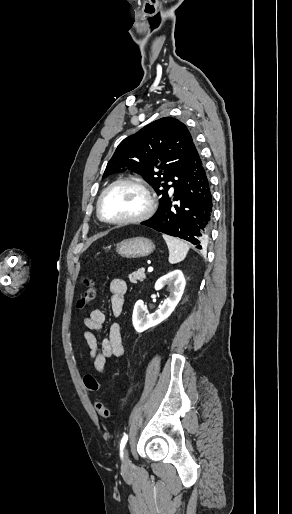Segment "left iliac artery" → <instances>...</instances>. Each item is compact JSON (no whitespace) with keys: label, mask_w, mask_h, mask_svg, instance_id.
Instances as JSON below:
<instances>
[{"label":"left iliac artery","mask_w":292,"mask_h":514,"mask_svg":"<svg viewBox=\"0 0 292 514\" xmlns=\"http://www.w3.org/2000/svg\"><path fill=\"white\" fill-rule=\"evenodd\" d=\"M127 440H128V435L125 434L122 439H121V442H120V456L121 458L123 457V450H124V447L127 443Z\"/></svg>","instance_id":"obj_1"}]
</instances>
